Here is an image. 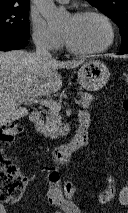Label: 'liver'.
Here are the masks:
<instances>
[{"label":"liver","instance_id":"1","mask_svg":"<svg viewBox=\"0 0 128 213\" xmlns=\"http://www.w3.org/2000/svg\"><path fill=\"white\" fill-rule=\"evenodd\" d=\"M83 60L43 62L23 50L0 52V127L28 115L21 103L57 92L62 86L58 69H72Z\"/></svg>","mask_w":128,"mask_h":213}]
</instances>
